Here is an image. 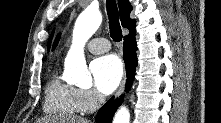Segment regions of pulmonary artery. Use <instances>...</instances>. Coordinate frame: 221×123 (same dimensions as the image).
I'll list each match as a JSON object with an SVG mask.
<instances>
[{
    "label": "pulmonary artery",
    "mask_w": 221,
    "mask_h": 123,
    "mask_svg": "<svg viewBox=\"0 0 221 123\" xmlns=\"http://www.w3.org/2000/svg\"><path fill=\"white\" fill-rule=\"evenodd\" d=\"M87 48L92 53L101 54L110 49V43L105 38H94L87 44Z\"/></svg>",
    "instance_id": "obj_1"
}]
</instances>
